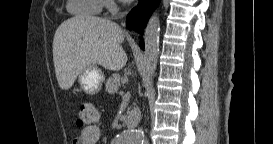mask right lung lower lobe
<instances>
[{"mask_svg": "<svg viewBox=\"0 0 273 144\" xmlns=\"http://www.w3.org/2000/svg\"><path fill=\"white\" fill-rule=\"evenodd\" d=\"M160 0H139V4L127 16V28L137 29L142 32L147 25L148 19L154 9L158 6ZM140 47L144 48V43H140Z\"/></svg>", "mask_w": 273, "mask_h": 144, "instance_id": "obj_1", "label": "right lung lower lobe"}]
</instances>
